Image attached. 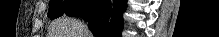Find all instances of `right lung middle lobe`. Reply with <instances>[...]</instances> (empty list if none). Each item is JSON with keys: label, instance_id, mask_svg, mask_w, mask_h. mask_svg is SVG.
<instances>
[{"label": "right lung middle lobe", "instance_id": "right-lung-middle-lobe-1", "mask_svg": "<svg viewBox=\"0 0 219 37\" xmlns=\"http://www.w3.org/2000/svg\"><path fill=\"white\" fill-rule=\"evenodd\" d=\"M83 0H52L49 4L48 17L51 19L67 14Z\"/></svg>", "mask_w": 219, "mask_h": 37}]
</instances>
